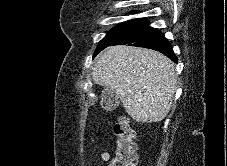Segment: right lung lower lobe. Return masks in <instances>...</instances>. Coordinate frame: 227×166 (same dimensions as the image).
<instances>
[{
	"instance_id": "98d812e1",
	"label": "right lung lower lobe",
	"mask_w": 227,
	"mask_h": 166,
	"mask_svg": "<svg viewBox=\"0 0 227 166\" xmlns=\"http://www.w3.org/2000/svg\"><path fill=\"white\" fill-rule=\"evenodd\" d=\"M126 44L159 51L169 57L172 61L177 62L176 55L174 54L171 45L165 38L164 34L159 30L150 27L147 21L143 22L134 30L110 43L106 47Z\"/></svg>"
}]
</instances>
